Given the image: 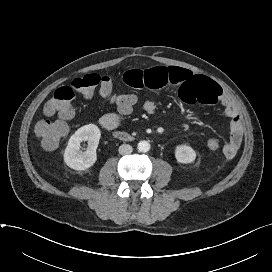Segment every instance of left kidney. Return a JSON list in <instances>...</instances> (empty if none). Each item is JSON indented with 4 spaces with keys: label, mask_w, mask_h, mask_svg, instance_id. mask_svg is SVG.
Instances as JSON below:
<instances>
[{
    "label": "left kidney",
    "mask_w": 272,
    "mask_h": 272,
    "mask_svg": "<svg viewBox=\"0 0 272 272\" xmlns=\"http://www.w3.org/2000/svg\"><path fill=\"white\" fill-rule=\"evenodd\" d=\"M175 157L179 163L190 164L196 159V152L188 145H178L175 148Z\"/></svg>",
    "instance_id": "left-kidney-1"
}]
</instances>
